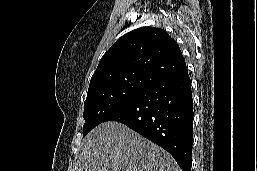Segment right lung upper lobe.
Segmentation results:
<instances>
[{
    "mask_svg": "<svg viewBox=\"0 0 257 171\" xmlns=\"http://www.w3.org/2000/svg\"><path fill=\"white\" fill-rule=\"evenodd\" d=\"M184 67L177 42L165 30L142 27L120 37L103 55L89 89L114 83L149 86Z\"/></svg>",
    "mask_w": 257,
    "mask_h": 171,
    "instance_id": "obj_1",
    "label": "right lung upper lobe"
}]
</instances>
